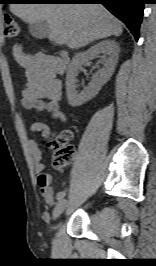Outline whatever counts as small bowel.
<instances>
[{"label": "small bowel", "instance_id": "obj_1", "mask_svg": "<svg viewBox=\"0 0 156 266\" xmlns=\"http://www.w3.org/2000/svg\"><path fill=\"white\" fill-rule=\"evenodd\" d=\"M13 56L27 79L22 93V106L27 110L47 111L52 119L65 122L67 118L60 107L61 85L56 78V59L44 53L26 55L20 45L13 47ZM30 130L32 134L40 133L46 141L51 134L49 126L43 122L32 123ZM28 146L41 195L46 203L52 205L55 200V186L52 176L45 172L42 152L35 137H30Z\"/></svg>", "mask_w": 156, "mask_h": 266}]
</instances>
